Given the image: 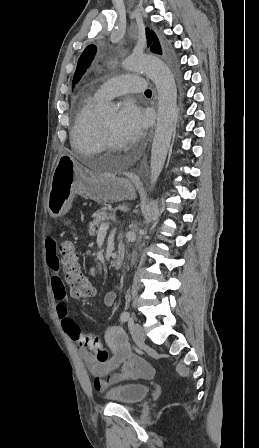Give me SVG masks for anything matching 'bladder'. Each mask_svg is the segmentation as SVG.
Returning a JSON list of instances; mask_svg holds the SVG:
<instances>
[{
  "instance_id": "31cf9c89",
  "label": "bladder",
  "mask_w": 259,
  "mask_h": 448,
  "mask_svg": "<svg viewBox=\"0 0 259 448\" xmlns=\"http://www.w3.org/2000/svg\"><path fill=\"white\" fill-rule=\"evenodd\" d=\"M149 386L143 383H128L111 387L106 391V398L123 405L141 402L149 393Z\"/></svg>"
}]
</instances>
